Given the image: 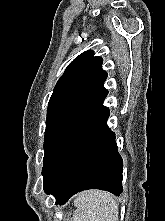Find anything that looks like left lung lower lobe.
<instances>
[{"instance_id":"0a47b994","label":"left lung lower lobe","mask_w":165,"mask_h":221,"mask_svg":"<svg viewBox=\"0 0 165 221\" xmlns=\"http://www.w3.org/2000/svg\"><path fill=\"white\" fill-rule=\"evenodd\" d=\"M104 99L61 137L43 165L44 190L56 205L82 190L102 189L116 196L123 191V161L106 124Z\"/></svg>"}]
</instances>
